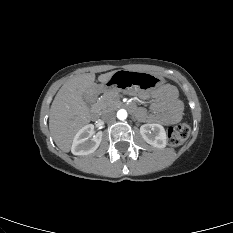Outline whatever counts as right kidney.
Masks as SVG:
<instances>
[{"label":"right kidney","instance_id":"1","mask_svg":"<svg viewBox=\"0 0 233 233\" xmlns=\"http://www.w3.org/2000/svg\"><path fill=\"white\" fill-rule=\"evenodd\" d=\"M94 126L92 124L82 127L75 135L71 147L74 155H88L93 153L100 145L102 132H98L92 138Z\"/></svg>","mask_w":233,"mask_h":233}]
</instances>
